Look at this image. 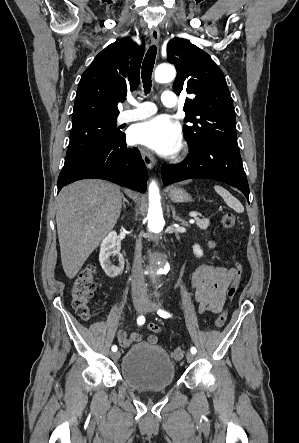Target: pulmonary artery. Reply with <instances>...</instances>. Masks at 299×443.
<instances>
[{
	"instance_id": "e3ab8cb5",
	"label": "pulmonary artery",
	"mask_w": 299,
	"mask_h": 443,
	"mask_svg": "<svg viewBox=\"0 0 299 443\" xmlns=\"http://www.w3.org/2000/svg\"><path fill=\"white\" fill-rule=\"evenodd\" d=\"M161 101L166 107H175L178 103L177 96L171 91H164L162 93ZM129 103L134 108L120 113L118 120L121 123L142 120L156 112V107L151 102H138L136 100H130Z\"/></svg>"
}]
</instances>
